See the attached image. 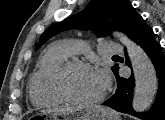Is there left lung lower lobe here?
Instances as JSON below:
<instances>
[{"mask_svg": "<svg viewBox=\"0 0 165 120\" xmlns=\"http://www.w3.org/2000/svg\"><path fill=\"white\" fill-rule=\"evenodd\" d=\"M136 44H138L148 55L154 65L158 76V92L151 110L146 113L136 112L132 108V97L134 89V77H119L117 67L116 80L118 87L114 95L102 103L116 111L127 113L139 117L143 120H165V55L161 45L157 42L155 34L151 27L140 17L131 32L130 36ZM127 55V53H126ZM126 64L131 67L127 58Z\"/></svg>", "mask_w": 165, "mask_h": 120, "instance_id": "0a47b994", "label": "left lung lower lobe"}]
</instances>
